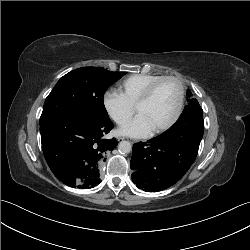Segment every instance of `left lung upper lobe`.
<instances>
[{
    "mask_svg": "<svg viewBox=\"0 0 250 250\" xmlns=\"http://www.w3.org/2000/svg\"><path fill=\"white\" fill-rule=\"evenodd\" d=\"M189 109H194L196 112L202 111L198 101L192 97V93L190 90L187 91V105L184 109L185 112L183 111L182 114H185L187 110ZM189 113H192V112L189 111Z\"/></svg>",
    "mask_w": 250,
    "mask_h": 250,
    "instance_id": "5c2ea615",
    "label": "left lung upper lobe"
}]
</instances>
